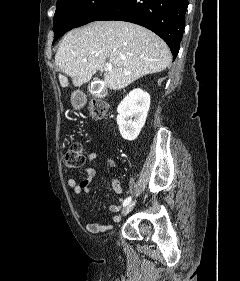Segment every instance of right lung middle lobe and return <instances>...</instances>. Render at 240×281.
<instances>
[{
	"mask_svg": "<svg viewBox=\"0 0 240 281\" xmlns=\"http://www.w3.org/2000/svg\"><path fill=\"white\" fill-rule=\"evenodd\" d=\"M117 0H57L54 41L72 28L95 21Z\"/></svg>",
	"mask_w": 240,
	"mask_h": 281,
	"instance_id": "1",
	"label": "right lung middle lobe"
}]
</instances>
